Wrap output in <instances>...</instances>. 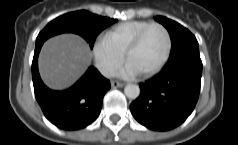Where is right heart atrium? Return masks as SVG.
Masks as SVG:
<instances>
[{
    "mask_svg": "<svg viewBox=\"0 0 238 145\" xmlns=\"http://www.w3.org/2000/svg\"><path fill=\"white\" fill-rule=\"evenodd\" d=\"M93 57L101 74L111 77L121 65L124 54L107 42L104 37H98L93 44Z\"/></svg>",
    "mask_w": 238,
    "mask_h": 145,
    "instance_id": "obj_1",
    "label": "right heart atrium"
}]
</instances>
